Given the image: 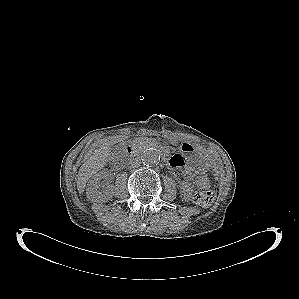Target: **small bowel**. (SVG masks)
Wrapping results in <instances>:
<instances>
[{
  "label": "small bowel",
  "mask_w": 299,
  "mask_h": 299,
  "mask_svg": "<svg viewBox=\"0 0 299 299\" xmlns=\"http://www.w3.org/2000/svg\"><path fill=\"white\" fill-rule=\"evenodd\" d=\"M169 164H170V166H172L174 168H184L185 162L181 155H174L169 160ZM184 173L188 179L192 178V172L189 169L184 168Z\"/></svg>",
  "instance_id": "obj_1"
}]
</instances>
